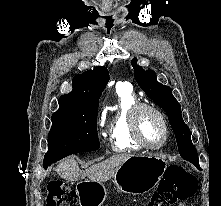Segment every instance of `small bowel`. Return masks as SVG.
<instances>
[{
  "instance_id": "1",
  "label": "small bowel",
  "mask_w": 221,
  "mask_h": 206,
  "mask_svg": "<svg viewBox=\"0 0 221 206\" xmlns=\"http://www.w3.org/2000/svg\"><path fill=\"white\" fill-rule=\"evenodd\" d=\"M179 206H185L184 204H181V205H179Z\"/></svg>"
}]
</instances>
